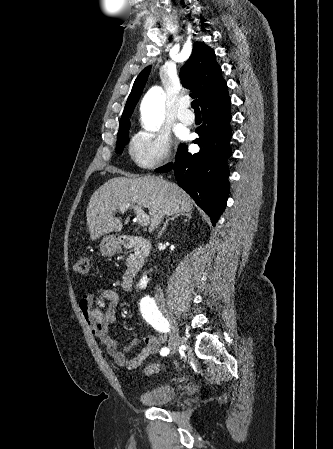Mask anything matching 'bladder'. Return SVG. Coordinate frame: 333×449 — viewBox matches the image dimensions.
<instances>
[{
  "instance_id": "31cf9c89",
  "label": "bladder",
  "mask_w": 333,
  "mask_h": 449,
  "mask_svg": "<svg viewBox=\"0 0 333 449\" xmlns=\"http://www.w3.org/2000/svg\"><path fill=\"white\" fill-rule=\"evenodd\" d=\"M179 395L178 389L169 383H162L142 391L138 400L146 406H164L174 402Z\"/></svg>"
}]
</instances>
